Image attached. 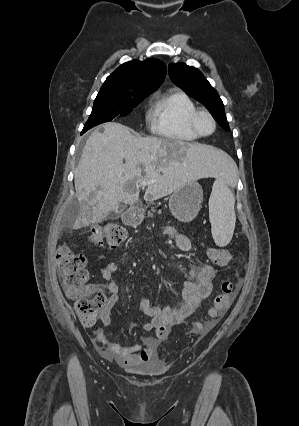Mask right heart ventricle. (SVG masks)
Here are the masks:
<instances>
[{"label":"right heart ventricle","mask_w":299,"mask_h":426,"mask_svg":"<svg viewBox=\"0 0 299 426\" xmlns=\"http://www.w3.org/2000/svg\"><path fill=\"white\" fill-rule=\"evenodd\" d=\"M197 109L182 90L170 89L155 101L151 114L152 131L169 140L191 142L199 138L189 126V118Z\"/></svg>","instance_id":"right-heart-ventricle-1"}]
</instances>
